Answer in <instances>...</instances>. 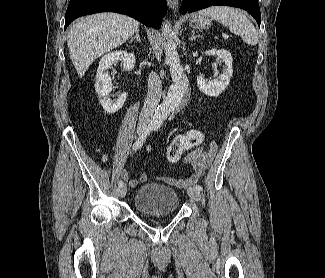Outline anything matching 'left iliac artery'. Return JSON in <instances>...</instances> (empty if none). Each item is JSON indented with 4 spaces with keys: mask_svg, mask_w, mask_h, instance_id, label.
<instances>
[{
    "mask_svg": "<svg viewBox=\"0 0 325 278\" xmlns=\"http://www.w3.org/2000/svg\"><path fill=\"white\" fill-rule=\"evenodd\" d=\"M159 128V126H155L154 130H157ZM194 189L198 190V191H202V187L200 185H195Z\"/></svg>",
    "mask_w": 325,
    "mask_h": 278,
    "instance_id": "1",
    "label": "left iliac artery"
}]
</instances>
